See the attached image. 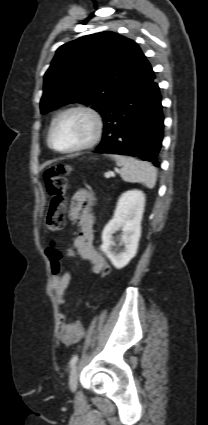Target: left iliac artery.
Wrapping results in <instances>:
<instances>
[{
    "label": "left iliac artery",
    "instance_id": "44dca946",
    "mask_svg": "<svg viewBox=\"0 0 208 425\" xmlns=\"http://www.w3.org/2000/svg\"><path fill=\"white\" fill-rule=\"evenodd\" d=\"M77 360H78V356L77 355L73 356L70 360V366L71 367L74 366L76 364Z\"/></svg>",
    "mask_w": 208,
    "mask_h": 425
}]
</instances>
